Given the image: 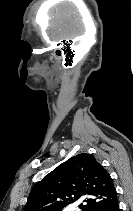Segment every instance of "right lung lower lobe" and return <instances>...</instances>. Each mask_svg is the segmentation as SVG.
Wrapping results in <instances>:
<instances>
[{
	"label": "right lung lower lobe",
	"mask_w": 133,
	"mask_h": 211,
	"mask_svg": "<svg viewBox=\"0 0 133 211\" xmlns=\"http://www.w3.org/2000/svg\"><path fill=\"white\" fill-rule=\"evenodd\" d=\"M103 211H119L118 202H116L115 204H113V205L110 206L109 208L104 209Z\"/></svg>",
	"instance_id": "98d812e1"
}]
</instances>
